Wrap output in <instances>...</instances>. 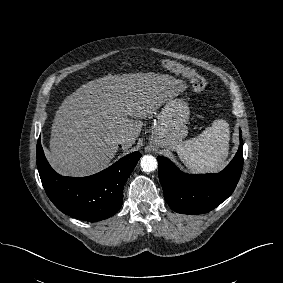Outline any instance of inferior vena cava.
<instances>
[{
	"mask_svg": "<svg viewBox=\"0 0 283 283\" xmlns=\"http://www.w3.org/2000/svg\"><path fill=\"white\" fill-rule=\"evenodd\" d=\"M115 142L117 144H124L126 142V137L125 136H118L115 138Z\"/></svg>",
	"mask_w": 283,
	"mask_h": 283,
	"instance_id": "obj_1",
	"label": "inferior vena cava"
}]
</instances>
